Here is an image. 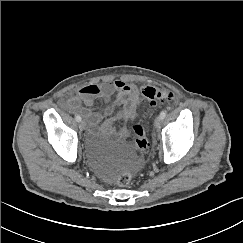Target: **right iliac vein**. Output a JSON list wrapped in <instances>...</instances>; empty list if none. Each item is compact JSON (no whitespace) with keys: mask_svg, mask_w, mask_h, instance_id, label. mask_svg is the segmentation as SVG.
<instances>
[{"mask_svg":"<svg viewBox=\"0 0 243 243\" xmlns=\"http://www.w3.org/2000/svg\"><path fill=\"white\" fill-rule=\"evenodd\" d=\"M79 128H80V130H85V128H86V123H85L84 120L80 121V123H79Z\"/></svg>","mask_w":243,"mask_h":243,"instance_id":"right-iliac-vein-1","label":"right iliac vein"}]
</instances>
